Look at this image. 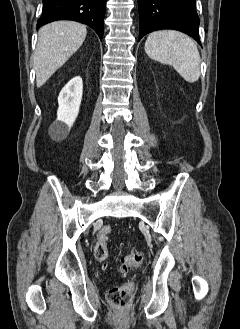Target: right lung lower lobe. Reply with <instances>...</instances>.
I'll return each instance as SVG.
<instances>
[{
    "label": "right lung lower lobe",
    "instance_id": "right-lung-lower-lobe-1",
    "mask_svg": "<svg viewBox=\"0 0 240 329\" xmlns=\"http://www.w3.org/2000/svg\"><path fill=\"white\" fill-rule=\"evenodd\" d=\"M43 13L37 28L57 20H73L90 26L103 37L106 0H42Z\"/></svg>",
    "mask_w": 240,
    "mask_h": 329
}]
</instances>
